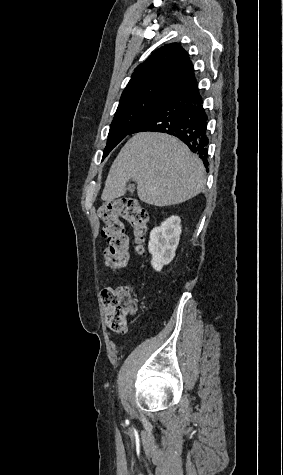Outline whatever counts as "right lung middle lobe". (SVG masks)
Returning <instances> with one entry per match:
<instances>
[{
  "instance_id": "1",
  "label": "right lung middle lobe",
  "mask_w": 283,
  "mask_h": 475,
  "mask_svg": "<svg viewBox=\"0 0 283 475\" xmlns=\"http://www.w3.org/2000/svg\"><path fill=\"white\" fill-rule=\"evenodd\" d=\"M174 90L159 89L120 101L110 126L103 159L130 131Z\"/></svg>"
}]
</instances>
